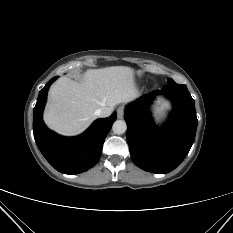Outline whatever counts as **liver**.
<instances>
[{"label":"liver","mask_w":233,"mask_h":233,"mask_svg":"<svg viewBox=\"0 0 233 233\" xmlns=\"http://www.w3.org/2000/svg\"><path fill=\"white\" fill-rule=\"evenodd\" d=\"M137 96L132 68L89 69L81 82L61 77L51 86L44 121L59 134L77 135L96 119L97 109L113 110L116 105L133 101Z\"/></svg>","instance_id":"obj_1"}]
</instances>
